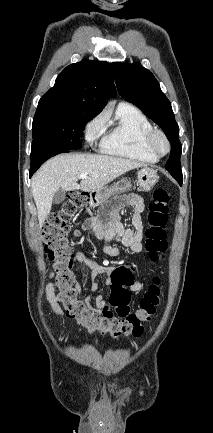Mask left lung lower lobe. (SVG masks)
Returning a JSON list of instances; mask_svg holds the SVG:
<instances>
[{"instance_id": "left-lung-lower-lobe-1", "label": "left lung lower lobe", "mask_w": 213, "mask_h": 433, "mask_svg": "<svg viewBox=\"0 0 213 433\" xmlns=\"http://www.w3.org/2000/svg\"><path fill=\"white\" fill-rule=\"evenodd\" d=\"M178 183H179L180 185H182V180H179Z\"/></svg>"}]
</instances>
